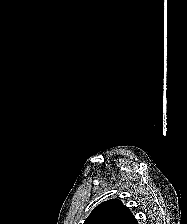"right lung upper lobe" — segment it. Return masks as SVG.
Here are the masks:
<instances>
[{
	"mask_svg": "<svg viewBox=\"0 0 187 224\" xmlns=\"http://www.w3.org/2000/svg\"><path fill=\"white\" fill-rule=\"evenodd\" d=\"M84 224H138L128 207L118 199H111L99 204Z\"/></svg>",
	"mask_w": 187,
	"mask_h": 224,
	"instance_id": "obj_1",
	"label": "right lung upper lobe"
}]
</instances>
